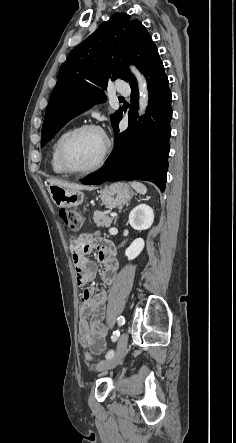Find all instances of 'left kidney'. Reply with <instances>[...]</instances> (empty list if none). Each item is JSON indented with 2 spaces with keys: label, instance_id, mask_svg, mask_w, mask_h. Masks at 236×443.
Wrapping results in <instances>:
<instances>
[{
  "label": "left kidney",
  "instance_id": "obj_1",
  "mask_svg": "<svg viewBox=\"0 0 236 443\" xmlns=\"http://www.w3.org/2000/svg\"><path fill=\"white\" fill-rule=\"evenodd\" d=\"M153 221V209L146 204L136 206L129 215V224L135 230H146L151 227ZM144 245L145 243L142 238L135 239L125 250V255L128 257V260L135 259L143 250Z\"/></svg>",
  "mask_w": 236,
  "mask_h": 443
}]
</instances>
